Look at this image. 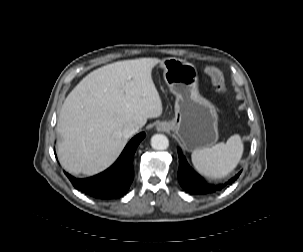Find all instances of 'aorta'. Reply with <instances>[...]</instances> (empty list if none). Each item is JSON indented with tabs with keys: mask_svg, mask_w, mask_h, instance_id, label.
<instances>
[{
	"mask_svg": "<svg viewBox=\"0 0 303 252\" xmlns=\"http://www.w3.org/2000/svg\"><path fill=\"white\" fill-rule=\"evenodd\" d=\"M151 146L155 150H165L169 146V140L164 134H155L151 138Z\"/></svg>",
	"mask_w": 303,
	"mask_h": 252,
	"instance_id": "aorta-1",
	"label": "aorta"
}]
</instances>
